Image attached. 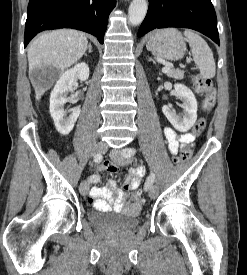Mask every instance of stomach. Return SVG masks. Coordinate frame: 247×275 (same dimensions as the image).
I'll return each instance as SVG.
<instances>
[{
    "label": "stomach",
    "mask_w": 247,
    "mask_h": 275,
    "mask_svg": "<svg viewBox=\"0 0 247 275\" xmlns=\"http://www.w3.org/2000/svg\"><path fill=\"white\" fill-rule=\"evenodd\" d=\"M153 55L167 60H178L186 51L185 39L177 29H164L152 35L146 45Z\"/></svg>",
    "instance_id": "0dacf381"
}]
</instances>
